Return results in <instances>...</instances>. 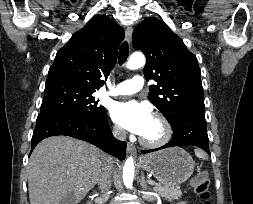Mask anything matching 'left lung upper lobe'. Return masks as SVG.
I'll return each instance as SVG.
<instances>
[{
    "label": "left lung upper lobe",
    "mask_w": 253,
    "mask_h": 204,
    "mask_svg": "<svg viewBox=\"0 0 253 204\" xmlns=\"http://www.w3.org/2000/svg\"><path fill=\"white\" fill-rule=\"evenodd\" d=\"M133 47L146 56V79L157 82L148 98L170 124L189 109L205 108L197 58L164 22L142 21L133 31Z\"/></svg>",
    "instance_id": "left-lung-upper-lobe-1"
}]
</instances>
